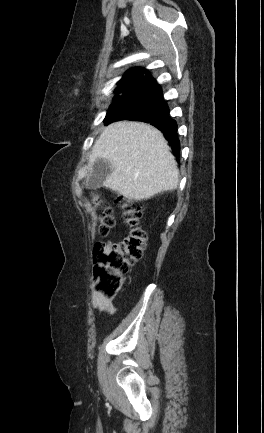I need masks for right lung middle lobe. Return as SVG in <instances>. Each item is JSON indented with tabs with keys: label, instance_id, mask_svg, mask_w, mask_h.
<instances>
[{
	"label": "right lung middle lobe",
	"instance_id": "1",
	"mask_svg": "<svg viewBox=\"0 0 264 433\" xmlns=\"http://www.w3.org/2000/svg\"><path fill=\"white\" fill-rule=\"evenodd\" d=\"M141 90L129 91L121 94L119 97H115L104 119L105 124H109L115 119L127 117L133 113L135 108L132 105L138 101Z\"/></svg>",
	"mask_w": 264,
	"mask_h": 433
}]
</instances>
